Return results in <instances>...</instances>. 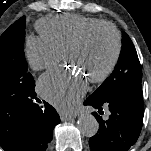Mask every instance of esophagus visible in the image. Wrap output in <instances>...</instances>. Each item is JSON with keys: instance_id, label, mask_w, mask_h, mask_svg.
<instances>
[{"instance_id": "esophagus-1", "label": "esophagus", "mask_w": 151, "mask_h": 151, "mask_svg": "<svg viewBox=\"0 0 151 151\" xmlns=\"http://www.w3.org/2000/svg\"><path fill=\"white\" fill-rule=\"evenodd\" d=\"M77 116L76 113L74 114H66V113H61L60 118L62 121H68L71 120L72 118H75Z\"/></svg>"}]
</instances>
